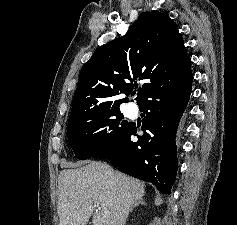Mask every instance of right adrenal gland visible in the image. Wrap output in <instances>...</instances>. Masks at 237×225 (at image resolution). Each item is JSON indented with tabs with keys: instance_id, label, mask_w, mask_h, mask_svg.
Returning a JSON list of instances; mask_svg holds the SVG:
<instances>
[{
	"instance_id": "2a0ac1e0",
	"label": "right adrenal gland",
	"mask_w": 237,
	"mask_h": 225,
	"mask_svg": "<svg viewBox=\"0 0 237 225\" xmlns=\"http://www.w3.org/2000/svg\"><path fill=\"white\" fill-rule=\"evenodd\" d=\"M145 205V202L143 199H140L138 202H136L134 205L131 206L130 211H132L135 207L139 206V205Z\"/></svg>"
}]
</instances>
